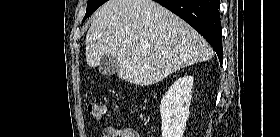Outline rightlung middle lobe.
Listing matches in <instances>:
<instances>
[{
	"instance_id": "right-lung-middle-lobe-1",
	"label": "right lung middle lobe",
	"mask_w": 280,
	"mask_h": 137,
	"mask_svg": "<svg viewBox=\"0 0 280 137\" xmlns=\"http://www.w3.org/2000/svg\"><path fill=\"white\" fill-rule=\"evenodd\" d=\"M107 0H88L87 2V11L84 16L83 22L103 3Z\"/></svg>"
}]
</instances>
